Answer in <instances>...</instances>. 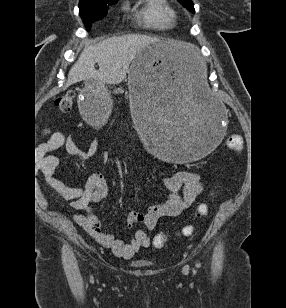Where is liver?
<instances>
[{"instance_id":"liver-1","label":"liver","mask_w":286,"mask_h":308,"mask_svg":"<svg viewBox=\"0 0 286 308\" xmlns=\"http://www.w3.org/2000/svg\"><path fill=\"white\" fill-rule=\"evenodd\" d=\"M162 40L141 34L108 38L95 45H87L68 74L66 87L88 79L100 84H119L128 72L137 53L149 44ZM167 52L180 61L189 62L197 54L190 43L165 41ZM99 69H95V64Z\"/></svg>"}]
</instances>
